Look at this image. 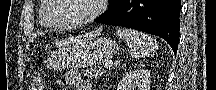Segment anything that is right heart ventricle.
Wrapping results in <instances>:
<instances>
[{
  "instance_id": "1",
  "label": "right heart ventricle",
  "mask_w": 216,
  "mask_h": 90,
  "mask_svg": "<svg viewBox=\"0 0 216 90\" xmlns=\"http://www.w3.org/2000/svg\"><path fill=\"white\" fill-rule=\"evenodd\" d=\"M52 4L54 3L53 2H40V6H44V7H39L40 14H49V7H52ZM40 25L44 29H49V27L46 25V23L42 19H40Z\"/></svg>"
}]
</instances>
